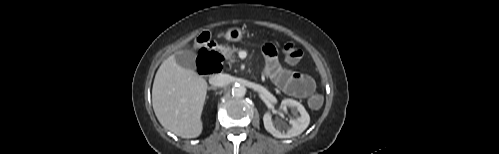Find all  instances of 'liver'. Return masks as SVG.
<instances>
[{"label": "liver", "instance_id": "6515ba94", "mask_svg": "<svg viewBox=\"0 0 499 154\" xmlns=\"http://www.w3.org/2000/svg\"><path fill=\"white\" fill-rule=\"evenodd\" d=\"M207 82L195 71L169 56L159 67L152 88V105L160 124L182 138H196L202 132L201 114Z\"/></svg>", "mask_w": 499, "mask_h": 154}]
</instances>
